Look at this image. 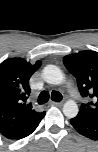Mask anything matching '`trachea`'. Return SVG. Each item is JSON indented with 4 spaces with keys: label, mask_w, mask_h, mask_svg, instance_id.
<instances>
[{
    "label": "trachea",
    "mask_w": 98,
    "mask_h": 152,
    "mask_svg": "<svg viewBox=\"0 0 98 152\" xmlns=\"http://www.w3.org/2000/svg\"><path fill=\"white\" fill-rule=\"evenodd\" d=\"M49 98H51L53 101L60 102L62 100V94L58 91H52L51 95H49L47 91H42L38 97V104L48 102Z\"/></svg>",
    "instance_id": "1"
}]
</instances>
